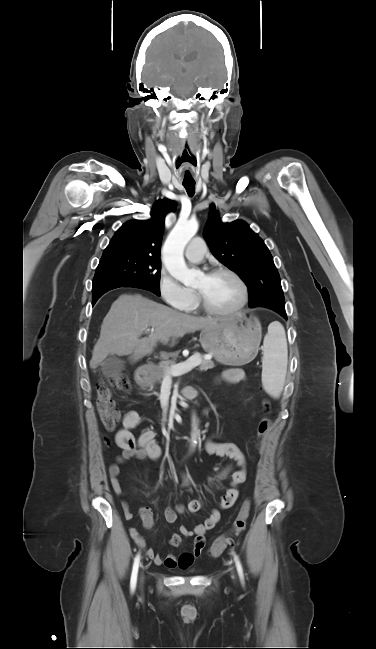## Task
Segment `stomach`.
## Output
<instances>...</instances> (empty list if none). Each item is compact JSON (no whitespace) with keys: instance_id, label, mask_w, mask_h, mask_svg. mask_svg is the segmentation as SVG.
Masks as SVG:
<instances>
[{"instance_id":"1","label":"stomach","mask_w":376,"mask_h":649,"mask_svg":"<svg viewBox=\"0 0 376 649\" xmlns=\"http://www.w3.org/2000/svg\"><path fill=\"white\" fill-rule=\"evenodd\" d=\"M261 340L258 320L228 317L205 327L200 333L202 348L225 365H242L253 360Z\"/></svg>"}]
</instances>
